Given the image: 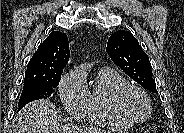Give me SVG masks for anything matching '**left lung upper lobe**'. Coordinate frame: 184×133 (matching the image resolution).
Masks as SVG:
<instances>
[{
    "mask_svg": "<svg viewBox=\"0 0 184 133\" xmlns=\"http://www.w3.org/2000/svg\"><path fill=\"white\" fill-rule=\"evenodd\" d=\"M106 50L112 61L129 77L145 89L158 93L149 57L129 31L114 32L108 40Z\"/></svg>",
    "mask_w": 184,
    "mask_h": 133,
    "instance_id": "left-lung-upper-lobe-1",
    "label": "left lung upper lobe"
}]
</instances>
